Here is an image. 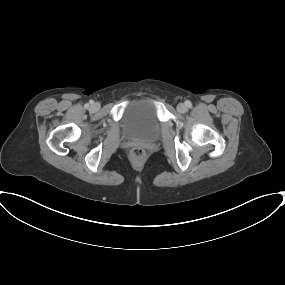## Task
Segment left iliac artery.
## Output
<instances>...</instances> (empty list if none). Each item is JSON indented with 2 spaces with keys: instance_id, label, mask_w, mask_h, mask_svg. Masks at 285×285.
Returning <instances> with one entry per match:
<instances>
[{
  "instance_id": "left-iliac-artery-1",
  "label": "left iliac artery",
  "mask_w": 285,
  "mask_h": 285,
  "mask_svg": "<svg viewBox=\"0 0 285 285\" xmlns=\"http://www.w3.org/2000/svg\"><path fill=\"white\" fill-rule=\"evenodd\" d=\"M185 104H186V106L189 107V108L192 107V103H191L189 100L185 101Z\"/></svg>"
}]
</instances>
